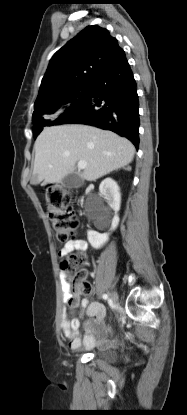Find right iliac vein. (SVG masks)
Instances as JSON below:
<instances>
[{"label":"right iliac vein","instance_id":"63e3f726","mask_svg":"<svg viewBox=\"0 0 187 415\" xmlns=\"http://www.w3.org/2000/svg\"><path fill=\"white\" fill-rule=\"evenodd\" d=\"M110 299L115 305L118 304V294L116 292L110 293Z\"/></svg>","mask_w":187,"mask_h":415}]
</instances>
